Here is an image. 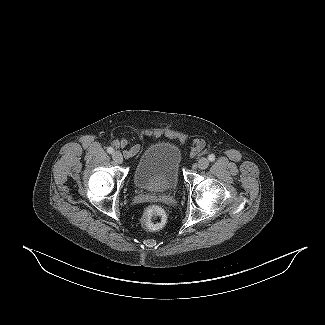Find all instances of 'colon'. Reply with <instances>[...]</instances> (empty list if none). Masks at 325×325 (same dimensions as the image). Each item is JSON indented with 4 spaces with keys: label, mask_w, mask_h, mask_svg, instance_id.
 Listing matches in <instances>:
<instances>
[{
    "label": "colon",
    "mask_w": 325,
    "mask_h": 325,
    "mask_svg": "<svg viewBox=\"0 0 325 325\" xmlns=\"http://www.w3.org/2000/svg\"><path fill=\"white\" fill-rule=\"evenodd\" d=\"M200 148V144L196 146V149ZM145 225L150 229H158L162 227L166 222L165 211L157 205H152L146 208L144 212Z\"/></svg>",
    "instance_id": "5ec220e1"
}]
</instances>
